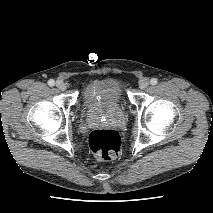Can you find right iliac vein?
<instances>
[{"instance_id":"right-iliac-vein-1","label":"right iliac vein","mask_w":213,"mask_h":213,"mask_svg":"<svg viewBox=\"0 0 213 213\" xmlns=\"http://www.w3.org/2000/svg\"><path fill=\"white\" fill-rule=\"evenodd\" d=\"M56 86H57V88L60 89L61 91H64V90H66V88H67L66 83L63 82V81H61V80H58V81L56 82Z\"/></svg>"}]
</instances>
